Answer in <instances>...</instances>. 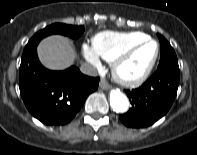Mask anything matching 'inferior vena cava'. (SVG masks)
<instances>
[{
    "instance_id": "1",
    "label": "inferior vena cava",
    "mask_w": 197,
    "mask_h": 155,
    "mask_svg": "<svg viewBox=\"0 0 197 155\" xmlns=\"http://www.w3.org/2000/svg\"><path fill=\"white\" fill-rule=\"evenodd\" d=\"M80 71L85 74V75H89V76H96L97 75V70L94 66H92L91 64L88 63H84L81 65L80 67Z\"/></svg>"
}]
</instances>
